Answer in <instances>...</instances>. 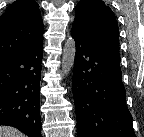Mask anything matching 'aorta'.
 <instances>
[{
  "mask_svg": "<svg viewBox=\"0 0 144 137\" xmlns=\"http://www.w3.org/2000/svg\"><path fill=\"white\" fill-rule=\"evenodd\" d=\"M76 54V42L73 37H69L63 47L61 73L67 75L73 68Z\"/></svg>",
  "mask_w": 144,
  "mask_h": 137,
  "instance_id": "1",
  "label": "aorta"
}]
</instances>
